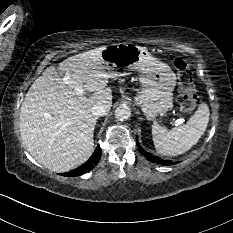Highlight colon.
<instances>
[{
    "label": "colon",
    "instance_id": "obj_1",
    "mask_svg": "<svg viewBox=\"0 0 233 233\" xmlns=\"http://www.w3.org/2000/svg\"><path fill=\"white\" fill-rule=\"evenodd\" d=\"M178 77L177 102L185 112L193 111L198 105V97L194 91L192 72L188 64L181 58L173 60Z\"/></svg>",
    "mask_w": 233,
    "mask_h": 233
}]
</instances>
